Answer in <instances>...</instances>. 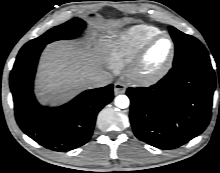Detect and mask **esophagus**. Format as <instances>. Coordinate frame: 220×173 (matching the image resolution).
<instances>
[{"label": "esophagus", "instance_id": "esophagus-1", "mask_svg": "<svg viewBox=\"0 0 220 173\" xmlns=\"http://www.w3.org/2000/svg\"><path fill=\"white\" fill-rule=\"evenodd\" d=\"M126 91V85L122 82H116L114 84V94L115 95H119V94H123Z\"/></svg>", "mask_w": 220, "mask_h": 173}]
</instances>
